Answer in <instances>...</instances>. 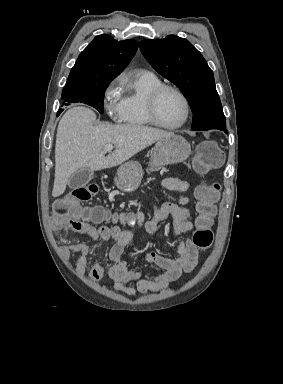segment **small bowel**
<instances>
[{
  "mask_svg": "<svg viewBox=\"0 0 283 384\" xmlns=\"http://www.w3.org/2000/svg\"><path fill=\"white\" fill-rule=\"evenodd\" d=\"M163 187L169 191L179 192L182 195L178 202H165L154 210L153 216L145 223L147 234L153 235L158 225L163 220L171 217L173 220V235L175 238L190 233L193 229V218L187 208L189 198L184 193L189 188V183L184 179L169 177L163 181ZM50 225L52 230L71 231L90 236L94 240L113 241L109 258L111 266L108 276L116 291L129 296L145 295L157 292L176 282L182 274L192 272L198 263V248L189 239H182L177 245V256L167 257L151 251L144 256V261L154 264L163 270L156 275L143 274L132 270L123 259V254L133 239L131 229H121L118 225H92L84 221L74 220L67 216H59L55 211L51 215ZM90 249L82 242L64 245L60 254L67 260L71 254H78L76 270L84 273L88 267ZM104 274L102 258L97 261L89 271L91 281L99 280Z\"/></svg>",
  "mask_w": 283,
  "mask_h": 384,
  "instance_id": "obj_1",
  "label": "small bowel"
}]
</instances>
